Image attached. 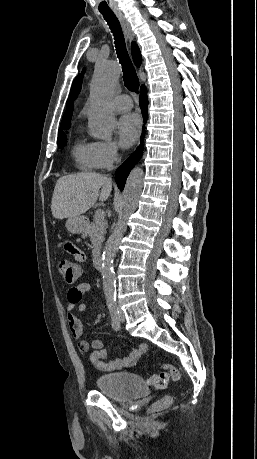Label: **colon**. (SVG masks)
Instances as JSON below:
<instances>
[{
	"label": "colon",
	"mask_w": 257,
	"mask_h": 459,
	"mask_svg": "<svg viewBox=\"0 0 257 459\" xmlns=\"http://www.w3.org/2000/svg\"><path fill=\"white\" fill-rule=\"evenodd\" d=\"M60 275L68 284L75 283L81 275L80 264H71L70 260H61L58 264ZM163 371L152 374L147 382L155 389L165 388L170 379L178 381L181 379L180 371L169 364L162 365ZM172 403V397L165 395L152 405V411L157 412L167 408Z\"/></svg>",
	"instance_id": "5ec220e1"
}]
</instances>
